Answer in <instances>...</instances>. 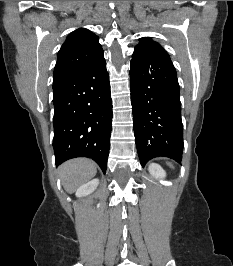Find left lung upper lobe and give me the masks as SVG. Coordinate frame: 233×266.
I'll use <instances>...</instances> for the list:
<instances>
[{
    "label": "left lung upper lobe",
    "instance_id": "5c2ea615",
    "mask_svg": "<svg viewBox=\"0 0 233 266\" xmlns=\"http://www.w3.org/2000/svg\"><path fill=\"white\" fill-rule=\"evenodd\" d=\"M142 45L160 46V44L152 41L149 37H144L140 39V43L137 46H142Z\"/></svg>",
    "mask_w": 233,
    "mask_h": 266
}]
</instances>
